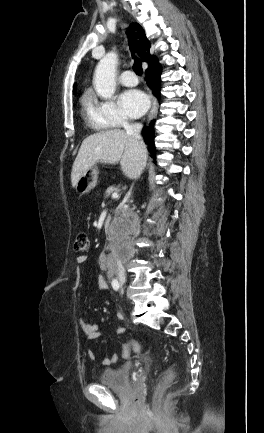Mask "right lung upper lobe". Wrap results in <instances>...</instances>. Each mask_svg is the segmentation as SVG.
Here are the masks:
<instances>
[{"instance_id":"1","label":"right lung upper lobe","mask_w":264,"mask_h":433,"mask_svg":"<svg viewBox=\"0 0 264 433\" xmlns=\"http://www.w3.org/2000/svg\"><path fill=\"white\" fill-rule=\"evenodd\" d=\"M131 33L136 41L137 52L143 61L154 65L158 63L156 57L150 54V42L146 38L143 28L138 23L130 24ZM76 85H74V90Z\"/></svg>"}]
</instances>
